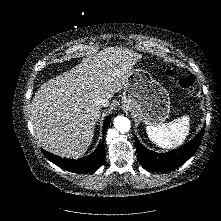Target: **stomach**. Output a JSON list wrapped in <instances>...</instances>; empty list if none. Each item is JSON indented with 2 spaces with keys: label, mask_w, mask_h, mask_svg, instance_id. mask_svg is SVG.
Returning a JSON list of instances; mask_svg holds the SVG:
<instances>
[{
  "label": "stomach",
  "mask_w": 221,
  "mask_h": 221,
  "mask_svg": "<svg viewBox=\"0 0 221 221\" xmlns=\"http://www.w3.org/2000/svg\"><path fill=\"white\" fill-rule=\"evenodd\" d=\"M122 103L146 125H159L170 113L169 93L142 68L132 70L123 86Z\"/></svg>",
  "instance_id": "1"
}]
</instances>
